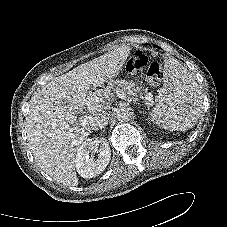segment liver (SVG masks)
I'll use <instances>...</instances> for the list:
<instances>
[{
	"label": "liver",
	"instance_id": "6515ba94",
	"mask_svg": "<svg viewBox=\"0 0 227 227\" xmlns=\"http://www.w3.org/2000/svg\"><path fill=\"white\" fill-rule=\"evenodd\" d=\"M129 53L128 46L117 47L52 79L31 97L26 121L30 149L39 167L58 183L78 185L75 156L91 126H77V114L86 107L93 116L100 113L95 97L100 93L89 91L116 77Z\"/></svg>",
	"mask_w": 227,
	"mask_h": 227
}]
</instances>
